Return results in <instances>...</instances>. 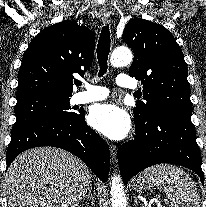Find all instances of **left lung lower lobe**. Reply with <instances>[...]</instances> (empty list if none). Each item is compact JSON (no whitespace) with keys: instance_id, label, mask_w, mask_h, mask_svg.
Here are the masks:
<instances>
[{"instance_id":"1","label":"left lung lower lobe","mask_w":206,"mask_h":207,"mask_svg":"<svg viewBox=\"0 0 206 207\" xmlns=\"http://www.w3.org/2000/svg\"><path fill=\"white\" fill-rule=\"evenodd\" d=\"M192 112L155 109L146 124L135 122V139L118 149L120 173L125 184L145 168L171 163L196 172L204 184L201 154L196 142Z\"/></svg>"}]
</instances>
